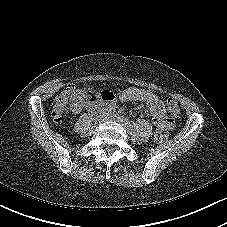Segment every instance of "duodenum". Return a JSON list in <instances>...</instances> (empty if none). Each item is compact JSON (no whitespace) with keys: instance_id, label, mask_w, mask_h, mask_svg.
I'll return each instance as SVG.
<instances>
[{"instance_id":"duodenum-1","label":"duodenum","mask_w":227,"mask_h":227,"mask_svg":"<svg viewBox=\"0 0 227 227\" xmlns=\"http://www.w3.org/2000/svg\"><path fill=\"white\" fill-rule=\"evenodd\" d=\"M117 97L113 91H104L101 95L91 97L89 106L94 110H101L103 108H111L116 103Z\"/></svg>"}]
</instances>
